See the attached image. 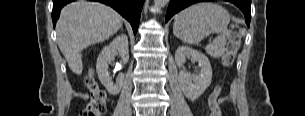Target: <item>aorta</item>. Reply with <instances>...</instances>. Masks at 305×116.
Instances as JSON below:
<instances>
[{
	"instance_id": "762f6f07",
	"label": "aorta",
	"mask_w": 305,
	"mask_h": 116,
	"mask_svg": "<svg viewBox=\"0 0 305 116\" xmlns=\"http://www.w3.org/2000/svg\"><path fill=\"white\" fill-rule=\"evenodd\" d=\"M168 3V0H154V6L156 9L163 8Z\"/></svg>"
}]
</instances>
